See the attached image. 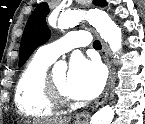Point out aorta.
<instances>
[{"mask_svg": "<svg viewBox=\"0 0 145 124\" xmlns=\"http://www.w3.org/2000/svg\"><path fill=\"white\" fill-rule=\"evenodd\" d=\"M83 19L88 20L90 24L95 27L101 38L109 44L114 54L121 49V29L110 16L102 10H76L62 13L58 19V25L61 27H72ZM55 67L65 71L67 69V64L65 61H59L56 63ZM114 115V107L107 105L92 116L90 124H111Z\"/></svg>", "mask_w": 145, "mask_h": 124, "instance_id": "762f6f07", "label": "aorta"}]
</instances>
